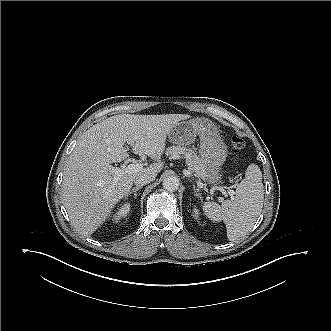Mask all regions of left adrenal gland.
Masks as SVG:
<instances>
[{
    "label": "left adrenal gland",
    "instance_id": "left-adrenal-gland-1",
    "mask_svg": "<svg viewBox=\"0 0 331 331\" xmlns=\"http://www.w3.org/2000/svg\"><path fill=\"white\" fill-rule=\"evenodd\" d=\"M193 189H194L195 193L198 195V193H197V192H199V191H196V190H195V187H193Z\"/></svg>",
    "mask_w": 331,
    "mask_h": 331
}]
</instances>
